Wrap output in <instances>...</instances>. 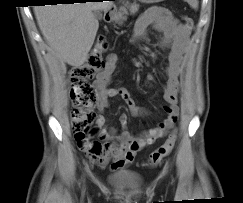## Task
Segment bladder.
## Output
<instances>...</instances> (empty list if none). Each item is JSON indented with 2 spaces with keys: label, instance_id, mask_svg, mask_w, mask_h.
<instances>
[{
  "label": "bladder",
  "instance_id": "bladder-1",
  "mask_svg": "<svg viewBox=\"0 0 243 203\" xmlns=\"http://www.w3.org/2000/svg\"><path fill=\"white\" fill-rule=\"evenodd\" d=\"M107 179L111 184L117 187L133 188L140 183L141 176L133 170L123 169L109 174Z\"/></svg>",
  "mask_w": 243,
  "mask_h": 203
}]
</instances>
